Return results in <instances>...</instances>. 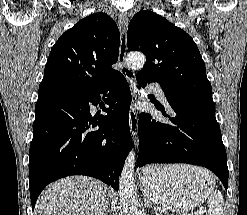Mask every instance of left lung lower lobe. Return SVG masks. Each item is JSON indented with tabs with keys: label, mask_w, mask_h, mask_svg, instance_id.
Wrapping results in <instances>:
<instances>
[{
	"label": "left lung lower lobe",
	"mask_w": 247,
	"mask_h": 215,
	"mask_svg": "<svg viewBox=\"0 0 247 215\" xmlns=\"http://www.w3.org/2000/svg\"><path fill=\"white\" fill-rule=\"evenodd\" d=\"M140 86L153 82L137 73ZM174 111L170 124L161 123L150 114L139 115V155L137 167L149 163H188L214 172L225 189L228 186L226 150L215 118L213 102L171 95L164 91Z\"/></svg>",
	"instance_id": "left-lung-lower-lobe-1"
}]
</instances>
